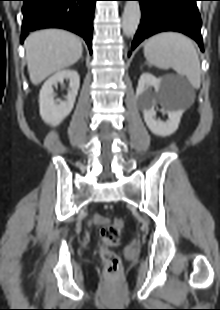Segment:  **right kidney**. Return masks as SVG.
Listing matches in <instances>:
<instances>
[{
    "instance_id": "ca27d5eb",
    "label": "right kidney",
    "mask_w": 220,
    "mask_h": 310,
    "mask_svg": "<svg viewBox=\"0 0 220 310\" xmlns=\"http://www.w3.org/2000/svg\"><path fill=\"white\" fill-rule=\"evenodd\" d=\"M69 79V89L65 101H54L53 86ZM80 79L76 70L63 69L52 75L43 84L39 94V109L43 121L51 126L59 125L72 111L79 90Z\"/></svg>"
}]
</instances>
